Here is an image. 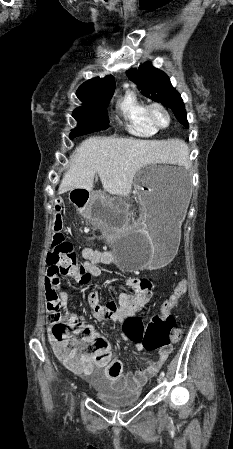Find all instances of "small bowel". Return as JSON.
<instances>
[{
  "instance_id": "obj_1",
  "label": "small bowel",
  "mask_w": 233,
  "mask_h": 449,
  "mask_svg": "<svg viewBox=\"0 0 233 449\" xmlns=\"http://www.w3.org/2000/svg\"><path fill=\"white\" fill-rule=\"evenodd\" d=\"M83 262L74 268H67L62 271L59 265H49L44 276L45 298L48 308L53 310L56 307L63 306L67 303L68 294L60 289V281L63 275H68L74 280L87 283L90 279L101 278L103 272L101 265L110 264L114 257L109 251H98L90 247H84L81 250ZM125 285L130 288L133 293L128 294L122 292L118 301H108L99 304H93V316L98 321L108 320L119 323H126L127 319H136L137 313L147 304L154 290L152 278H147L146 274H135L134 278H128ZM187 291V290H186ZM97 297L99 294H93ZM140 325H142L140 321ZM122 338V337H121ZM128 341V338H122ZM50 340L56 351L57 343ZM75 338H71L73 345ZM138 349H142L140 343H135ZM74 346V345H73ZM82 348L75 347V353L84 361V365L79 371L85 374H97L104 369L108 380L116 386L137 387L144 385L151 377H153L168 357V350H160L158 358L150 361L147 366L137 369L134 373L122 374V365L118 360L112 359L111 354L107 356L106 361H97L92 353H86Z\"/></svg>"
}]
</instances>
